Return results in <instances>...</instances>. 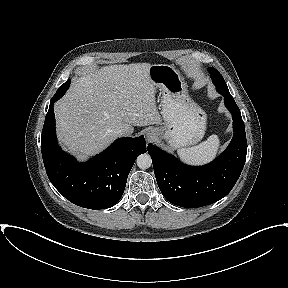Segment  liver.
Segmentation results:
<instances>
[{
  "instance_id": "obj_1",
  "label": "liver",
  "mask_w": 288,
  "mask_h": 288,
  "mask_svg": "<svg viewBox=\"0 0 288 288\" xmlns=\"http://www.w3.org/2000/svg\"><path fill=\"white\" fill-rule=\"evenodd\" d=\"M149 63L111 65L75 80L55 104L57 137L79 160L99 153L133 126L160 124Z\"/></svg>"
}]
</instances>
